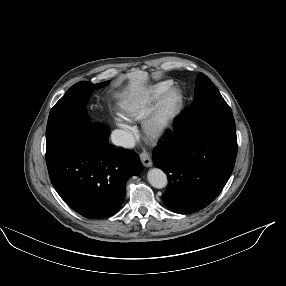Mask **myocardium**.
Listing matches in <instances>:
<instances>
[{"instance_id":"1","label":"myocardium","mask_w":286,"mask_h":286,"mask_svg":"<svg viewBox=\"0 0 286 286\" xmlns=\"http://www.w3.org/2000/svg\"><path fill=\"white\" fill-rule=\"evenodd\" d=\"M173 104L168 108L169 102ZM184 94L178 87H171L162 94L144 116L142 130L150 140L163 138L174 126L184 108Z\"/></svg>"}]
</instances>
